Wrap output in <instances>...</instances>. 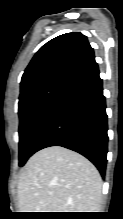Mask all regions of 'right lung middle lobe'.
I'll list each match as a JSON object with an SVG mask.
<instances>
[{
    "mask_svg": "<svg viewBox=\"0 0 123 219\" xmlns=\"http://www.w3.org/2000/svg\"><path fill=\"white\" fill-rule=\"evenodd\" d=\"M68 82V80L51 81L32 88L19 97L20 167L34 153L35 140Z\"/></svg>",
    "mask_w": 123,
    "mask_h": 219,
    "instance_id": "right-lung-middle-lobe-1",
    "label": "right lung middle lobe"
}]
</instances>
